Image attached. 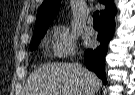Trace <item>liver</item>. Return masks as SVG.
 Returning <instances> with one entry per match:
<instances>
[{"instance_id": "liver-1", "label": "liver", "mask_w": 135, "mask_h": 95, "mask_svg": "<svg viewBox=\"0 0 135 95\" xmlns=\"http://www.w3.org/2000/svg\"><path fill=\"white\" fill-rule=\"evenodd\" d=\"M101 85V80L82 66L47 64L29 76L25 95H95Z\"/></svg>"}]
</instances>
